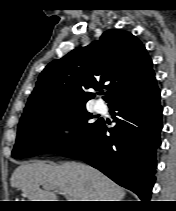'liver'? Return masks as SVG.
I'll return each instance as SVG.
<instances>
[{"instance_id":"obj_1","label":"liver","mask_w":176,"mask_h":211,"mask_svg":"<svg viewBox=\"0 0 176 211\" xmlns=\"http://www.w3.org/2000/svg\"><path fill=\"white\" fill-rule=\"evenodd\" d=\"M10 184L29 201H58L56 192H64L77 201H122L125 196L124 189L103 173L74 161L24 163L14 170Z\"/></svg>"}]
</instances>
